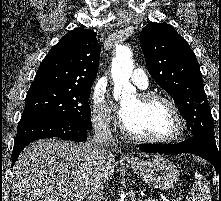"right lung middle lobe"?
I'll use <instances>...</instances> for the list:
<instances>
[{
  "mask_svg": "<svg viewBox=\"0 0 221 201\" xmlns=\"http://www.w3.org/2000/svg\"><path fill=\"white\" fill-rule=\"evenodd\" d=\"M90 93L91 89L30 88L21 119L53 117L91 127Z\"/></svg>",
  "mask_w": 221,
  "mask_h": 201,
  "instance_id": "1",
  "label": "right lung middle lobe"
}]
</instances>
